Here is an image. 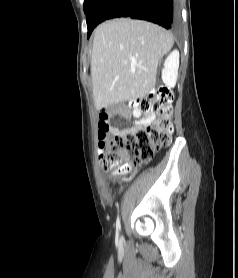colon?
I'll return each instance as SVG.
<instances>
[{"mask_svg":"<svg viewBox=\"0 0 238 278\" xmlns=\"http://www.w3.org/2000/svg\"><path fill=\"white\" fill-rule=\"evenodd\" d=\"M133 106L142 112L154 115V121L145 128L121 131L111 138H105L109 124L98 123L100 148V166L112 174L128 172L149 162L156 151L170 144L173 124V94L166 89L149 94L133 102Z\"/></svg>","mask_w":238,"mask_h":278,"instance_id":"1","label":"colon"}]
</instances>
